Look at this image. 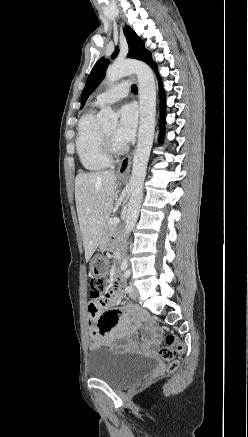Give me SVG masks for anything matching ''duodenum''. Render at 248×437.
<instances>
[{
  "label": "duodenum",
  "instance_id": "1",
  "mask_svg": "<svg viewBox=\"0 0 248 437\" xmlns=\"http://www.w3.org/2000/svg\"><path fill=\"white\" fill-rule=\"evenodd\" d=\"M119 254L122 255V249L121 248L119 249Z\"/></svg>",
  "mask_w": 248,
  "mask_h": 437
}]
</instances>
